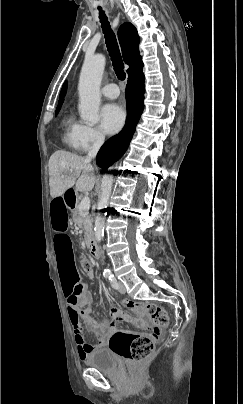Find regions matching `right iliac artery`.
<instances>
[{"mask_svg":"<svg viewBox=\"0 0 243 404\" xmlns=\"http://www.w3.org/2000/svg\"><path fill=\"white\" fill-rule=\"evenodd\" d=\"M103 275H104L105 278H109L111 274L109 272L105 271L103 273Z\"/></svg>","mask_w":243,"mask_h":404,"instance_id":"obj_1","label":"right iliac artery"}]
</instances>
